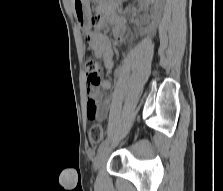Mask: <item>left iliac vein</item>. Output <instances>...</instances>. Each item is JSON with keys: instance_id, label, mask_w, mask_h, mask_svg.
I'll return each mask as SVG.
<instances>
[{"instance_id": "1", "label": "left iliac vein", "mask_w": 223, "mask_h": 191, "mask_svg": "<svg viewBox=\"0 0 223 191\" xmlns=\"http://www.w3.org/2000/svg\"><path fill=\"white\" fill-rule=\"evenodd\" d=\"M108 147L106 146L103 150H101L97 156L95 157L93 168L95 171L99 170L100 167L105 163L107 155H108Z\"/></svg>"}]
</instances>
